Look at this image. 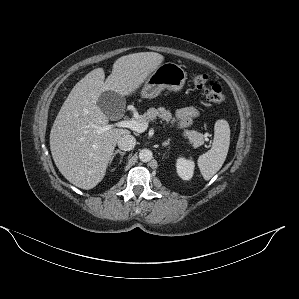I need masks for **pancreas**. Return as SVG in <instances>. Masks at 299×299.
Masks as SVG:
<instances>
[{
	"mask_svg": "<svg viewBox=\"0 0 299 299\" xmlns=\"http://www.w3.org/2000/svg\"><path fill=\"white\" fill-rule=\"evenodd\" d=\"M160 118L166 123H171L172 126L176 122V119L173 118L172 113L170 110H166L164 107L156 108H150L147 112H145L143 115H140L136 121L140 123H149L150 121H153L156 118ZM183 137L188 139L189 143L192 144L194 148H197L204 144V135L194 131V130H185L182 133Z\"/></svg>",
	"mask_w": 299,
	"mask_h": 299,
	"instance_id": "1",
	"label": "pancreas"
}]
</instances>
